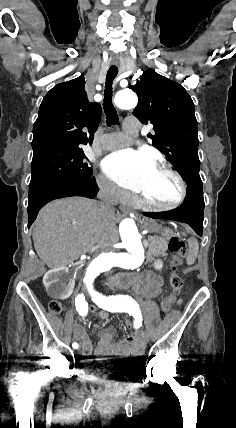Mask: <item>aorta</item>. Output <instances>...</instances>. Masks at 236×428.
<instances>
[{
	"mask_svg": "<svg viewBox=\"0 0 236 428\" xmlns=\"http://www.w3.org/2000/svg\"><path fill=\"white\" fill-rule=\"evenodd\" d=\"M114 102L121 109L135 108L138 103L137 95L131 90H122L116 93ZM119 233L125 252H105L94 258L86 267L82 278L84 292L93 290L95 280L104 272L113 267L136 269L145 259V248L141 235L133 219L125 218L119 225Z\"/></svg>",
	"mask_w": 236,
	"mask_h": 428,
	"instance_id": "762f6f07",
	"label": "aorta"
}]
</instances>
